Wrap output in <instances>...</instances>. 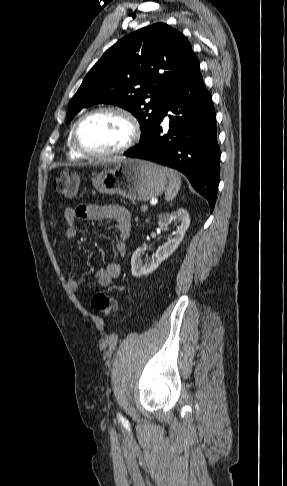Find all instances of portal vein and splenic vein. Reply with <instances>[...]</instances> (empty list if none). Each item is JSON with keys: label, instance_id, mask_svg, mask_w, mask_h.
Returning <instances> with one entry per match:
<instances>
[{"label": "portal vein and splenic vein", "instance_id": "18ae733b", "mask_svg": "<svg viewBox=\"0 0 287 486\" xmlns=\"http://www.w3.org/2000/svg\"><path fill=\"white\" fill-rule=\"evenodd\" d=\"M141 210H142L143 212H146V211L148 210V206H147V205H143V206L141 207Z\"/></svg>", "mask_w": 287, "mask_h": 486}]
</instances>
